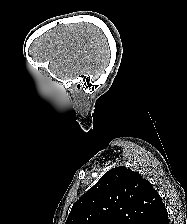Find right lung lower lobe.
Masks as SVG:
<instances>
[{"mask_svg": "<svg viewBox=\"0 0 187 224\" xmlns=\"http://www.w3.org/2000/svg\"><path fill=\"white\" fill-rule=\"evenodd\" d=\"M159 224H169L168 214L159 222Z\"/></svg>", "mask_w": 187, "mask_h": 224, "instance_id": "1", "label": "right lung lower lobe"}]
</instances>
